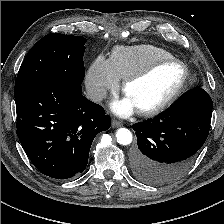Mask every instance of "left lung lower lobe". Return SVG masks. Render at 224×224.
<instances>
[{"label":"left lung lower lobe","mask_w":224,"mask_h":224,"mask_svg":"<svg viewBox=\"0 0 224 224\" xmlns=\"http://www.w3.org/2000/svg\"><path fill=\"white\" fill-rule=\"evenodd\" d=\"M212 107L209 94L195 88L153 119L134 124L138 144L133 156L135 176L149 184L180 178L207 139Z\"/></svg>","instance_id":"left-lung-lower-lobe-1"}]
</instances>
